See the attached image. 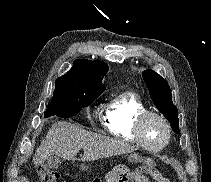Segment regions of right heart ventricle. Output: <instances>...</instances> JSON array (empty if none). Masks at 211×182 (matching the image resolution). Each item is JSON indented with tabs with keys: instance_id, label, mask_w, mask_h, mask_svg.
Masks as SVG:
<instances>
[{
	"instance_id": "obj_1",
	"label": "right heart ventricle",
	"mask_w": 211,
	"mask_h": 182,
	"mask_svg": "<svg viewBox=\"0 0 211 182\" xmlns=\"http://www.w3.org/2000/svg\"><path fill=\"white\" fill-rule=\"evenodd\" d=\"M148 111L143 101L133 92H123L114 97L105 107L102 123L115 138L138 143L134 126L138 116Z\"/></svg>"
}]
</instances>
